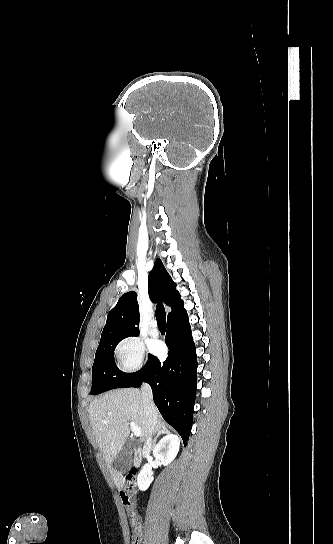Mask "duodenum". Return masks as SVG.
Instances as JSON below:
<instances>
[{"mask_svg":"<svg viewBox=\"0 0 333 544\" xmlns=\"http://www.w3.org/2000/svg\"><path fill=\"white\" fill-rule=\"evenodd\" d=\"M146 456V451L143 450V449H137L135 451V454H134V463L135 465H139L141 463V461L144 459V457Z\"/></svg>","mask_w":333,"mask_h":544,"instance_id":"410a0bca","label":"duodenum"}]
</instances>
